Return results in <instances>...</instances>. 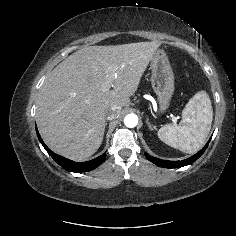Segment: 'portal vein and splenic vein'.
Segmentation results:
<instances>
[{
	"label": "portal vein and splenic vein",
	"instance_id": "18ae733b",
	"mask_svg": "<svg viewBox=\"0 0 236 236\" xmlns=\"http://www.w3.org/2000/svg\"><path fill=\"white\" fill-rule=\"evenodd\" d=\"M109 71H110L111 73H114V72L116 71V68L111 67V68H109ZM110 87H111L110 84H107V85L105 86L104 90L107 91V90L110 89Z\"/></svg>",
	"mask_w": 236,
	"mask_h": 236
}]
</instances>
